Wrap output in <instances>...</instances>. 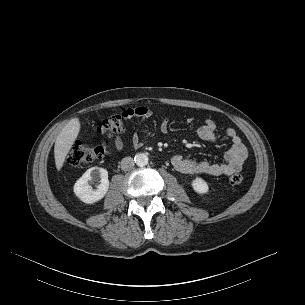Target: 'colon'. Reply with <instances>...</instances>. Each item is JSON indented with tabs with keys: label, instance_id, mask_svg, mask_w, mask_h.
Instances as JSON below:
<instances>
[{
	"label": "colon",
	"instance_id": "obj_1",
	"mask_svg": "<svg viewBox=\"0 0 305 305\" xmlns=\"http://www.w3.org/2000/svg\"><path fill=\"white\" fill-rule=\"evenodd\" d=\"M130 114L125 111L118 115L112 116L102 122L98 127V133L107 138H111L121 133L130 118ZM110 142L104 141L103 145H84L75 143L69 149L66 162L71 166L88 165L99 161L103 158L107 145ZM231 185H239L243 182V177L240 174H233L229 178Z\"/></svg>",
	"mask_w": 305,
	"mask_h": 305
}]
</instances>
